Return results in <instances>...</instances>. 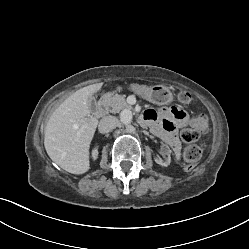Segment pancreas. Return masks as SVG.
<instances>
[{
  "instance_id": "1",
  "label": "pancreas",
  "mask_w": 249,
  "mask_h": 249,
  "mask_svg": "<svg viewBox=\"0 0 249 249\" xmlns=\"http://www.w3.org/2000/svg\"><path fill=\"white\" fill-rule=\"evenodd\" d=\"M108 104L111 107L112 113H118L122 109L130 108V105L126 102L125 95H111L108 96Z\"/></svg>"
}]
</instances>
